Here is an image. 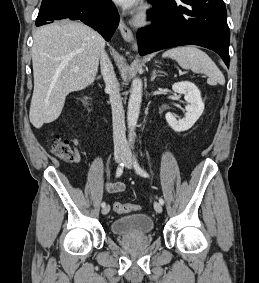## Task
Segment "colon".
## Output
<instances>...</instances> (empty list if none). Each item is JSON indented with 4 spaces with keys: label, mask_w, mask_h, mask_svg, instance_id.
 <instances>
[{
    "label": "colon",
    "mask_w": 259,
    "mask_h": 283,
    "mask_svg": "<svg viewBox=\"0 0 259 283\" xmlns=\"http://www.w3.org/2000/svg\"><path fill=\"white\" fill-rule=\"evenodd\" d=\"M52 149L56 156L66 162H74L77 158L70 141L68 139L61 138L58 135L53 138ZM113 209L118 214H125L139 210L140 206L136 204L117 202L113 204Z\"/></svg>",
    "instance_id": "1"
}]
</instances>
